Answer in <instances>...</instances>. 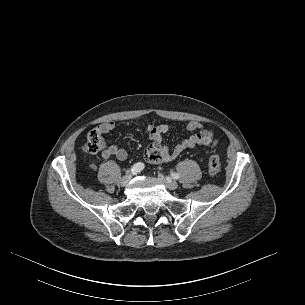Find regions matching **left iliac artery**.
Instances as JSON below:
<instances>
[{"mask_svg": "<svg viewBox=\"0 0 305 305\" xmlns=\"http://www.w3.org/2000/svg\"><path fill=\"white\" fill-rule=\"evenodd\" d=\"M171 177L173 179H178L179 178V175L177 173H171Z\"/></svg>", "mask_w": 305, "mask_h": 305, "instance_id": "left-iliac-artery-1", "label": "left iliac artery"}]
</instances>
